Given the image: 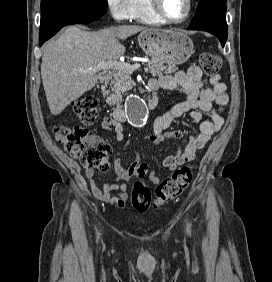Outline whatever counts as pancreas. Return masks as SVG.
Wrapping results in <instances>:
<instances>
[{"label": "pancreas", "mask_w": 272, "mask_h": 282, "mask_svg": "<svg viewBox=\"0 0 272 282\" xmlns=\"http://www.w3.org/2000/svg\"><path fill=\"white\" fill-rule=\"evenodd\" d=\"M178 68L175 65H166L151 61L146 64L145 72H149L152 76H163L175 73ZM134 82L130 77V73L126 70H118L114 72L113 79L110 83L111 94L107 97V103L110 105H120L122 96L125 92L131 90Z\"/></svg>", "instance_id": "cf45deb5"}]
</instances>
